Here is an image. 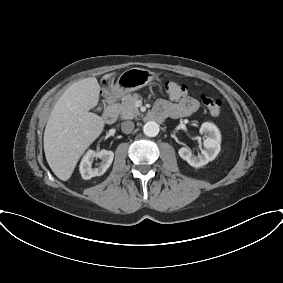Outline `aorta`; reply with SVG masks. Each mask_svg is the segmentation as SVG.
Here are the masks:
<instances>
[{
  "label": "aorta",
  "mask_w": 283,
  "mask_h": 283,
  "mask_svg": "<svg viewBox=\"0 0 283 283\" xmlns=\"http://www.w3.org/2000/svg\"><path fill=\"white\" fill-rule=\"evenodd\" d=\"M143 132L148 137H155L159 133V125L154 121H148L143 127Z\"/></svg>",
  "instance_id": "obj_1"
}]
</instances>
